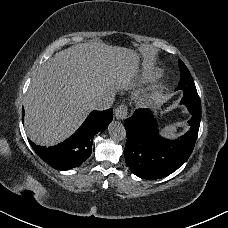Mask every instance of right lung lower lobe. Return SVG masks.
Listing matches in <instances>:
<instances>
[{
  "label": "right lung lower lobe",
  "instance_id": "98d812e1",
  "mask_svg": "<svg viewBox=\"0 0 228 228\" xmlns=\"http://www.w3.org/2000/svg\"><path fill=\"white\" fill-rule=\"evenodd\" d=\"M112 117V109L92 111L72 136L53 147L38 146L28 140L36 154L48 165L58 170H68L79 166L91 155L94 135L103 132Z\"/></svg>",
  "mask_w": 228,
  "mask_h": 228
}]
</instances>
